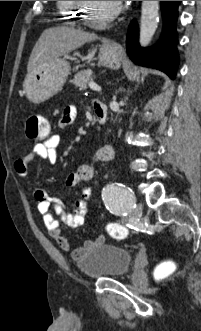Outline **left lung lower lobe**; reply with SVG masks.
<instances>
[{"label":"left lung lower lobe","instance_id":"obj_1","mask_svg":"<svg viewBox=\"0 0 201 331\" xmlns=\"http://www.w3.org/2000/svg\"><path fill=\"white\" fill-rule=\"evenodd\" d=\"M180 2L161 1L164 31L160 43L156 46L149 49H143L139 46L138 28L135 21L131 23L127 35L128 55L136 64L157 68L168 74L172 79L175 77L179 62L176 49L177 33L175 24Z\"/></svg>","mask_w":201,"mask_h":331}]
</instances>
